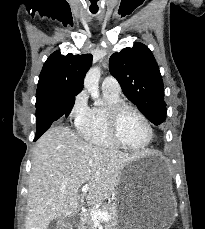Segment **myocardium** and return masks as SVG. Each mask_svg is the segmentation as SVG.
<instances>
[{
    "instance_id": "1",
    "label": "myocardium",
    "mask_w": 205,
    "mask_h": 229,
    "mask_svg": "<svg viewBox=\"0 0 205 229\" xmlns=\"http://www.w3.org/2000/svg\"><path fill=\"white\" fill-rule=\"evenodd\" d=\"M126 111H133L136 113L141 120L145 123L147 130H148V138L146 142L140 146H130L122 141L119 135V124H120V119L122 115ZM107 124H108V132L113 140V142L118 146L123 149L131 150V151H141L146 149L152 142L153 140V127L149 121V119L146 117V115L139 110L137 107L128 104L126 102H120L114 105H111L108 110H107Z\"/></svg>"
}]
</instances>
